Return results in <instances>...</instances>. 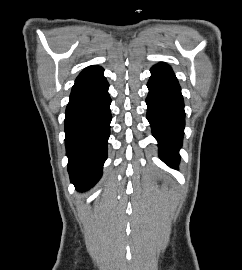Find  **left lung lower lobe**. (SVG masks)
<instances>
[{
	"label": "left lung lower lobe",
	"instance_id": "1",
	"mask_svg": "<svg viewBox=\"0 0 242 270\" xmlns=\"http://www.w3.org/2000/svg\"><path fill=\"white\" fill-rule=\"evenodd\" d=\"M147 86V119L159 143L160 157L177 169L180 159L178 151L182 146L185 126L181 88L172 69L165 63L151 68Z\"/></svg>",
	"mask_w": 242,
	"mask_h": 270
}]
</instances>
